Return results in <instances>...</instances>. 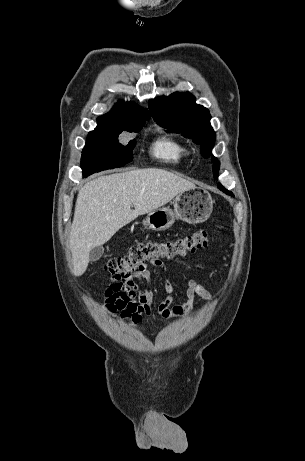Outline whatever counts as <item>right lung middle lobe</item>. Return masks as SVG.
Instances as JSON below:
<instances>
[{"mask_svg": "<svg viewBox=\"0 0 305 461\" xmlns=\"http://www.w3.org/2000/svg\"><path fill=\"white\" fill-rule=\"evenodd\" d=\"M145 121L121 124L98 121L94 131L89 132L82 151L81 168L84 176L92 173L121 167L132 160L135 140L121 144L118 136L123 131L139 132Z\"/></svg>", "mask_w": 305, "mask_h": 461, "instance_id": "right-lung-middle-lobe-1", "label": "right lung middle lobe"}]
</instances>
